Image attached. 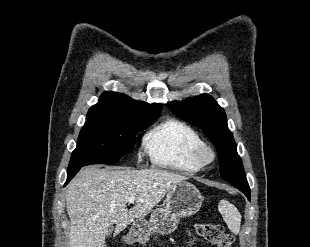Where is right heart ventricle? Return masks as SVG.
I'll use <instances>...</instances> for the list:
<instances>
[{"instance_id": "right-heart-ventricle-1", "label": "right heart ventricle", "mask_w": 310, "mask_h": 247, "mask_svg": "<svg viewBox=\"0 0 310 247\" xmlns=\"http://www.w3.org/2000/svg\"><path fill=\"white\" fill-rule=\"evenodd\" d=\"M203 143L193 127L174 118L162 121L143 138V146L155 165L184 173H195L200 169L192 154Z\"/></svg>"}]
</instances>
